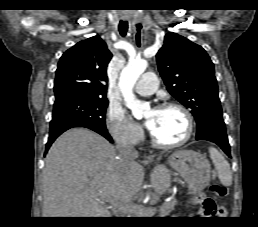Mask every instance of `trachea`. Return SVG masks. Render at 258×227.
<instances>
[{
  "instance_id": "1",
  "label": "trachea",
  "mask_w": 258,
  "mask_h": 227,
  "mask_svg": "<svg viewBox=\"0 0 258 227\" xmlns=\"http://www.w3.org/2000/svg\"><path fill=\"white\" fill-rule=\"evenodd\" d=\"M128 31V23L124 21H120L119 23V32L122 37H125L126 33Z\"/></svg>"
}]
</instances>
